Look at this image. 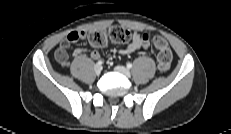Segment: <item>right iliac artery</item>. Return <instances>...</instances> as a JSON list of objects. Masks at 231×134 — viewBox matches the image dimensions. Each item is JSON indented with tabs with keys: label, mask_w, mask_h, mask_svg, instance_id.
<instances>
[{
	"label": "right iliac artery",
	"mask_w": 231,
	"mask_h": 134,
	"mask_svg": "<svg viewBox=\"0 0 231 134\" xmlns=\"http://www.w3.org/2000/svg\"><path fill=\"white\" fill-rule=\"evenodd\" d=\"M97 65L101 66L102 65V61H98Z\"/></svg>",
	"instance_id": "obj_1"
}]
</instances>
